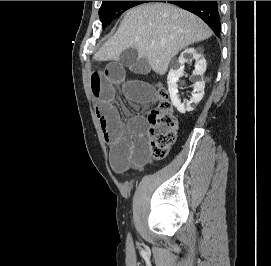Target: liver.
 <instances>
[{"label":"liver","mask_w":271,"mask_h":266,"mask_svg":"<svg viewBox=\"0 0 271 266\" xmlns=\"http://www.w3.org/2000/svg\"><path fill=\"white\" fill-rule=\"evenodd\" d=\"M212 35L194 14L167 3H147L130 9L119 29L95 54L96 61H118L128 48L146 57L152 70L164 75L183 48Z\"/></svg>","instance_id":"6515ba94"}]
</instances>
